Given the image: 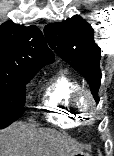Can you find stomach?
Segmentation results:
<instances>
[{"instance_id": "obj_1", "label": "stomach", "mask_w": 114, "mask_h": 156, "mask_svg": "<svg viewBox=\"0 0 114 156\" xmlns=\"http://www.w3.org/2000/svg\"><path fill=\"white\" fill-rule=\"evenodd\" d=\"M77 155H79V156H90L89 153H86V152H83V151L81 153L77 154Z\"/></svg>"}]
</instances>
